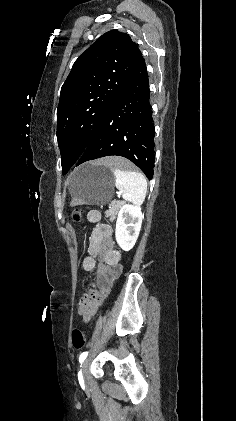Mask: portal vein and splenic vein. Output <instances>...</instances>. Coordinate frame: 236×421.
Instances as JSON below:
<instances>
[{
  "label": "portal vein and splenic vein",
  "instance_id": "portal-vein-and-splenic-vein-1",
  "mask_svg": "<svg viewBox=\"0 0 236 421\" xmlns=\"http://www.w3.org/2000/svg\"><path fill=\"white\" fill-rule=\"evenodd\" d=\"M116 197H117V198H120V197H121V194L118 192V193L116 194Z\"/></svg>",
  "mask_w": 236,
  "mask_h": 421
}]
</instances>
